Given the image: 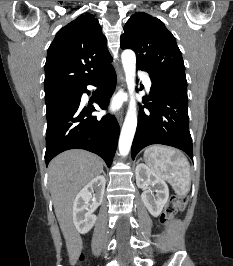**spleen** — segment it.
Returning <instances> with one entry per match:
<instances>
[{
	"label": "spleen",
	"mask_w": 233,
	"mask_h": 266,
	"mask_svg": "<svg viewBox=\"0 0 233 266\" xmlns=\"http://www.w3.org/2000/svg\"><path fill=\"white\" fill-rule=\"evenodd\" d=\"M144 159L150 169L168 181L178 195H186L189 192L190 165L179 151L154 145L145 150Z\"/></svg>",
	"instance_id": "3e777b00"
}]
</instances>
